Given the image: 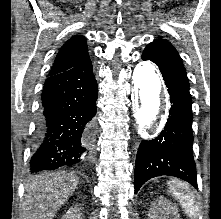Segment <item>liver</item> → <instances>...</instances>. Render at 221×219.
I'll return each instance as SVG.
<instances>
[{"instance_id": "obj_1", "label": "liver", "mask_w": 221, "mask_h": 219, "mask_svg": "<svg viewBox=\"0 0 221 219\" xmlns=\"http://www.w3.org/2000/svg\"><path fill=\"white\" fill-rule=\"evenodd\" d=\"M78 184V176L65 172H51L31 178L25 184L23 219H53Z\"/></svg>"}]
</instances>
